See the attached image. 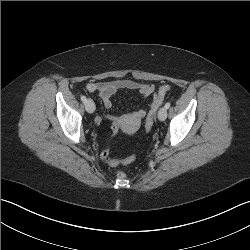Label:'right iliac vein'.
Segmentation results:
<instances>
[{
    "label": "right iliac vein",
    "instance_id": "1",
    "mask_svg": "<svg viewBox=\"0 0 250 250\" xmlns=\"http://www.w3.org/2000/svg\"><path fill=\"white\" fill-rule=\"evenodd\" d=\"M95 108H96L95 104L91 99H88L85 102V109L88 113H93L95 111Z\"/></svg>",
    "mask_w": 250,
    "mask_h": 250
}]
</instances>
